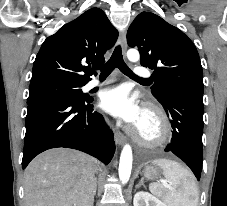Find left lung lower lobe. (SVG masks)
Listing matches in <instances>:
<instances>
[{
	"label": "left lung lower lobe",
	"instance_id": "left-lung-lower-lobe-1",
	"mask_svg": "<svg viewBox=\"0 0 227 206\" xmlns=\"http://www.w3.org/2000/svg\"><path fill=\"white\" fill-rule=\"evenodd\" d=\"M172 126L171 143L165 152L182 159L200 180L202 169L203 98L174 94L162 103Z\"/></svg>",
	"mask_w": 227,
	"mask_h": 206
}]
</instances>
